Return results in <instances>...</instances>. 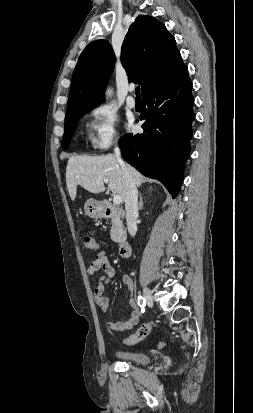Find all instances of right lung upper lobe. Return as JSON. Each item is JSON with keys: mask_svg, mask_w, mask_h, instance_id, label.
<instances>
[{"mask_svg": "<svg viewBox=\"0 0 253 413\" xmlns=\"http://www.w3.org/2000/svg\"><path fill=\"white\" fill-rule=\"evenodd\" d=\"M115 55L104 39L90 43L76 64L65 120L91 110L104 101ZM121 62L129 81L141 85L142 96L176 77L186 66L174 37L150 16H138L129 27L121 48Z\"/></svg>", "mask_w": 253, "mask_h": 413, "instance_id": "1", "label": "right lung upper lobe"}]
</instances>
